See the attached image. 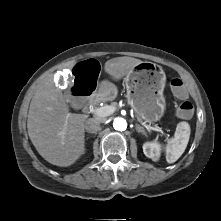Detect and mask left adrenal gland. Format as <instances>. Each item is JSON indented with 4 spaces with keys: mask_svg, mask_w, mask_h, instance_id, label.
<instances>
[{
    "mask_svg": "<svg viewBox=\"0 0 221 221\" xmlns=\"http://www.w3.org/2000/svg\"><path fill=\"white\" fill-rule=\"evenodd\" d=\"M136 131H137L138 133H142V134H144L145 136H147L145 129H144L143 127H141L140 125H136Z\"/></svg>",
    "mask_w": 221,
    "mask_h": 221,
    "instance_id": "obj_1",
    "label": "left adrenal gland"
}]
</instances>
